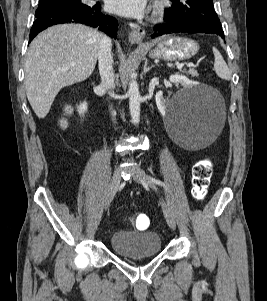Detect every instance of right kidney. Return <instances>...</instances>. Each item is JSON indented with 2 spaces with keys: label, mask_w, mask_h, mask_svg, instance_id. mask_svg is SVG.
I'll return each instance as SVG.
<instances>
[{
  "label": "right kidney",
  "mask_w": 267,
  "mask_h": 301,
  "mask_svg": "<svg viewBox=\"0 0 267 301\" xmlns=\"http://www.w3.org/2000/svg\"><path fill=\"white\" fill-rule=\"evenodd\" d=\"M77 109L80 115H84V113L87 111V103L86 102L80 103Z\"/></svg>",
  "instance_id": "right-kidney-1"
}]
</instances>
